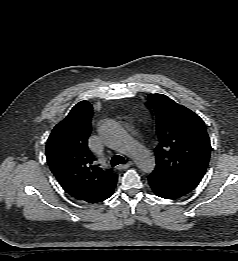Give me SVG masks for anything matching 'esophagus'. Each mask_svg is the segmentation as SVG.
I'll list each match as a JSON object with an SVG mask.
<instances>
[{"instance_id":"1","label":"esophagus","mask_w":238,"mask_h":261,"mask_svg":"<svg viewBox=\"0 0 238 261\" xmlns=\"http://www.w3.org/2000/svg\"><path fill=\"white\" fill-rule=\"evenodd\" d=\"M133 165V162L132 161H129L128 163L124 164V165H118L117 166V169L118 170H124V169H127L129 168L130 166Z\"/></svg>"}]
</instances>
